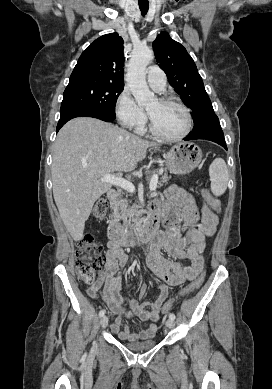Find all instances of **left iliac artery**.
<instances>
[{
  "mask_svg": "<svg viewBox=\"0 0 272 389\" xmlns=\"http://www.w3.org/2000/svg\"><path fill=\"white\" fill-rule=\"evenodd\" d=\"M169 318L174 320L175 319V314L174 313H170Z\"/></svg>",
  "mask_w": 272,
  "mask_h": 389,
  "instance_id": "left-iliac-artery-1",
  "label": "left iliac artery"
}]
</instances>
